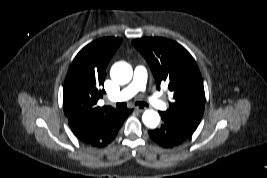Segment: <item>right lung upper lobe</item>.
Listing matches in <instances>:
<instances>
[{"mask_svg": "<svg viewBox=\"0 0 267 178\" xmlns=\"http://www.w3.org/2000/svg\"><path fill=\"white\" fill-rule=\"evenodd\" d=\"M121 42V38L115 37L95 40L74 58L63 89V109L73 132L115 111L112 107L97 106V101L105 92L102 86L107 65Z\"/></svg>", "mask_w": 267, "mask_h": 178, "instance_id": "cb5924a9", "label": "right lung upper lobe"}]
</instances>
